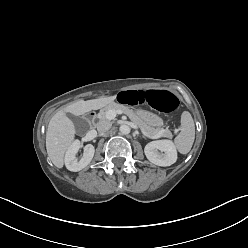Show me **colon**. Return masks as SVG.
<instances>
[{"label":"colon","mask_w":248,"mask_h":248,"mask_svg":"<svg viewBox=\"0 0 248 248\" xmlns=\"http://www.w3.org/2000/svg\"><path fill=\"white\" fill-rule=\"evenodd\" d=\"M119 104L124 105H150L154 109L169 113L178 107L177 97L164 89L157 90H136L131 89L119 93L116 97Z\"/></svg>","instance_id":"obj_1"}]
</instances>
